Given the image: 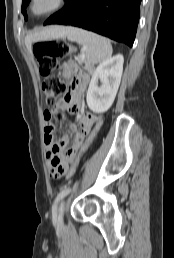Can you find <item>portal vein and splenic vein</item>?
I'll return each mask as SVG.
<instances>
[{
	"label": "portal vein and splenic vein",
	"instance_id": "18ae733b",
	"mask_svg": "<svg viewBox=\"0 0 174 258\" xmlns=\"http://www.w3.org/2000/svg\"><path fill=\"white\" fill-rule=\"evenodd\" d=\"M80 58L84 59V58H85V55H84V54H82V55L80 56Z\"/></svg>",
	"mask_w": 174,
	"mask_h": 258
}]
</instances>
